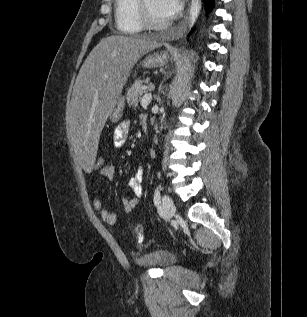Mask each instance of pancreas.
I'll list each match as a JSON object with an SVG mask.
<instances>
[{
    "label": "pancreas",
    "mask_w": 307,
    "mask_h": 317,
    "mask_svg": "<svg viewBox=\"0 0 307 317\" xmlns=\"http://www.w3.org/2000/svg\"><path fill=\"white\" fill-rule=\"evenodd\" d=\"M143 84V80H137L128 89L126 99L129 107L132 106L136 108L138 106V102L141 100V97L144 94V90L142 89Z\"/></svg>",
    "instance_id": "cf45deb5"
}]
</instances>
